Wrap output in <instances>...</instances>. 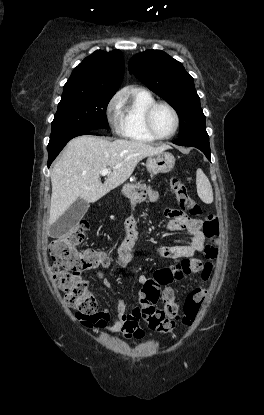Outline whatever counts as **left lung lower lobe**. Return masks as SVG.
I'll list each match as a JSON object with an SVG mask.
<instances>
[{
    "mask_svg": "<svg viewBox=\"0 0 264 415\" xmlns=\"http://www.w3.org/2000/svg\"><path fill=\"white\" fill-rule=\"evenodd\" d=\"M173 143L180 146L196 147L199 150H201L209 160H211L209 137L207 133L192 135L183 139H178L173 141Z\"/></svg>",
    "mask_w": 264,
    "mask_h": 415,
    "instance_id": "obj_1",
    "label": "left lung lower lobe"
}]
</instances>
